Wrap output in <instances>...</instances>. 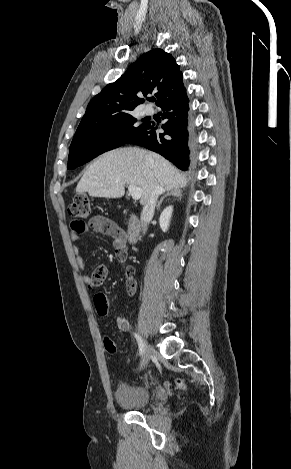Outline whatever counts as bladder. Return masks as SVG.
I'll return each mask as SVG.
<instances>
[{
  "instance_id": "1",
  "label": "bladder",
  "mask_w": 291,
  "mask_h": 469,
  "mask_svg": "<svg viewBox=\"0 0 291 469\" xmlns=\"http://www.w3.org/2000/svg\"><path fill=\"white\" fill-rule=\"evenodd\" d=\"M119 406L129 410L145 408L150 401V392L144 386L121 385L116 391Z\"/></svg>"
}]
</instances>
